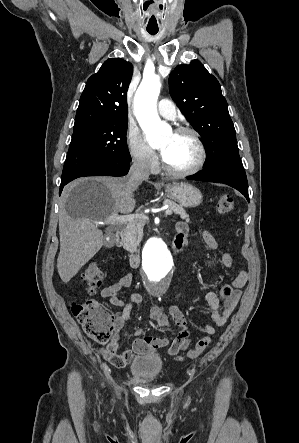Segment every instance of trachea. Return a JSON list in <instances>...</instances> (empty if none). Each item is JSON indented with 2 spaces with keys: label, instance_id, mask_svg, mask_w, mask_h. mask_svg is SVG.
I'll use <instances>...</instances> for the list:
<instances>
[{
  "label": "trachea",
  "instance_id": "obj_1",
  "mask_svg": "<svg viewBox=\"0 0 299 443\" xmlns=\"http://www.w3.org/2000/svg\"><path fill=\"white\" fill-rule=\"evenodd\" d=\"M147 31L151 35H155L158 32V30H147Z\"/></svg>",
  "mask_w": 299,
  "mask_h": 443
}]
</instances>
